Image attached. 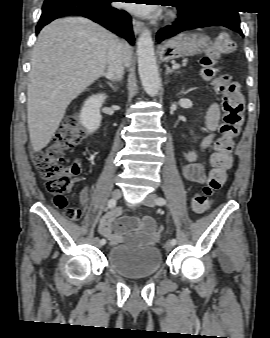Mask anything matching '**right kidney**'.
I'll return each mask as SVG.
<instances>
[{
	"mask_svg": "<svg viewBox=\"0 0 270 338\" xmlns=\"http://www.w3.org/2000/svg\"><path fill=\"white\" fill-rule=\"evenodd\" d=\"M106 99L105 94H97L89 97L80 114V123L87 129L89 133L95 132L101 123L100 108Z\"/></svg>",
	"mask_w": 270,
	"mask_h": 338,
	"instance_id": "1",
	"label": "right kidney"
}]
</instances>
